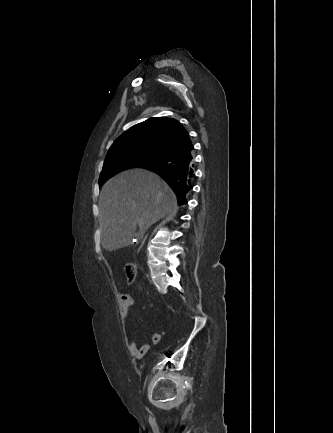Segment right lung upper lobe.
Segmentation results:
<instances>
[{"mask_svg":"<svg viewBox=\"0 0 333 433\" xmlns=\"http://www.w3.org/2000/svg\"><path fill=\"white\" fill-rule=\"evenodd\" d=\"M191 144L187 131L173 118L152 117L134 125L112 144L109 152L117 148L147 147L165 150L168 154Z\"/></svg>","mask_w":333,"mask_h":433,"instance_id":"right-lung-upper-lobe-1","label":"right lung upper lobe"}]
</instances>
